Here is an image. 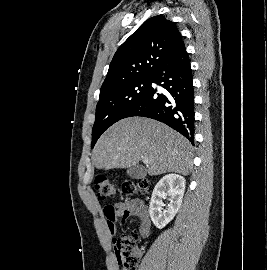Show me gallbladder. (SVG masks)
Instances as JSON below:
<instances>
[{
	"label": "gallbladder",
	"instance_id": "bac80fb5",
	"mask_svg": "<svg viewBox=\"0 0 267 270\" xmlns=\"http://www.w3.org/2000/svg\"><path fill=\"white\" fill-rule=\"evenodd\" d=\"M127 174L133 179H143L146 176V171L141 167L135 165L127 169Z\"/></svg>",
	"mask_w": 267,
	"mask_h": 270
}]
</instances>
